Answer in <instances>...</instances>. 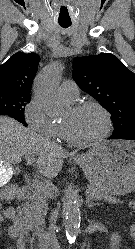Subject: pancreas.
Segmentation results:
<instances>
[{
  "instance_id": "cf45deb5",
  "label": "pancreas",
  "mask_w": 135,
  "mask_h": 249,
  "mask_svg": "<svg viewBox=\"0 0 135 249\" xmlns=\"http://www.w3.org/2000/svg\"><path fill=\"white\" fill-rule=\"evenodd\" d=\"M88 193L93 199L96 200H105L112 204L123 203L116 197L109 196L108 194H105L93 188L89 189ZM52 196L53 193L49 188L47 192L38 193V195L29 204H26V207L22 208L21 212L23 213V219L26 222L35 221V223H38V218L40 216H43L46 212L47 198H50Z\"/></svg>"
}]
</instances>
